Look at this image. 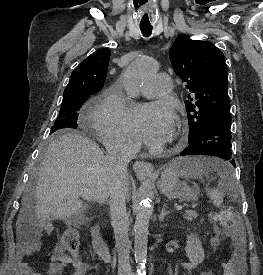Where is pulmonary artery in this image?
<instances>
[{
	"mask_svg": "<svg viewBox=\"0 0 263 275\" xmlns=\"http://www.w3.org/2000/svg\"><path fill=\"white\" fill-rule=\"evenodd\" d=\"M172 90V83L166 74H156L150 77L142 86L141 93L147 98H157L168 95Z\"/></svg>",
	"mask_w": 263,
	"mask_h": 275,
	"instance_id": "pulmonary-artery-1",
	"label": "pulmonary artery"
}]
</instances>
